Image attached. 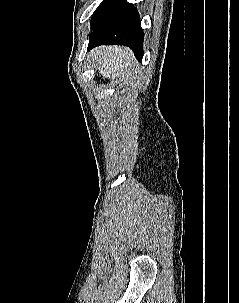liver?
<instances>
[{"mask_svg":"<svg viewBox=\"0 0 239 303\" xmlns=\"http://www.w3.org/2000/svg\"><path fill=\"white\" fill-rule=\"evenodd\" d=\"M97 60L95 68L104 78L121 79L127 84L131 81L136 62L132 51L123 46H102L91 52Z\"/></svg>","mask_w":239,"mask_h":303,"instance_id":"6515ba94","label":"liver"}]
</instances>
